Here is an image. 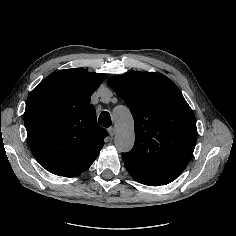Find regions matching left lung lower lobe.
Returning a JSON list of instances; mask_svg holds the SVG:
<instances>
[{"label": "left lung lower lobe", "mask_w": 236, "mask_h": 236, "mask_svg": "<svg viewBox=\"0 0 236 236\" xmlns=\"http://www.w3.org/2000/svg\"><path fill=\"white\" fill-rule=\"evenodd\" d=\"M127 171L129 172V174L139 183L145 184V185H149V186H159V185H164L161 182L151 178L150 176H147L143 173H141L140 171L136 170L133 167H130L128 165H125Z\"/></svg>", "instance_id": "left-lung-lower-lobe-1"}]
</instances>
